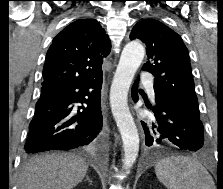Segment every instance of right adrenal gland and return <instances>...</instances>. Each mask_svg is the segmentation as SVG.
Segmentation results:
<instances>
[{
  "mask_svg": "<svg viewBox=\"0 0 223 189\" xmlns=\"http://www.w3.org/2000/svg\"><path fill=\"white\" fill-rule=\"evenodd\" d=\"M86 180H88L90 183H92V181L90 180V178L87 176Z\"/></svg>",
  "mask_w": 223,
  "mask_h": 189,
  "instance_id": "obj_1",
  "label": "right adrenal gland"
}]
</instances>
